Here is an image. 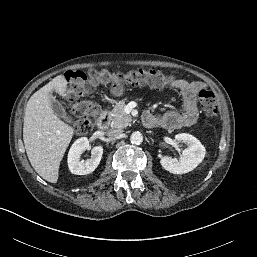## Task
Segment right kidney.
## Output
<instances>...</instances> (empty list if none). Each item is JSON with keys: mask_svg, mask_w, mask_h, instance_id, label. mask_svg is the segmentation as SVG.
<instances>
[{"mask_svg": "<svg viewBox=\"0 0 257 257\" xmlns=\"http://www.w3.org/2000/svg\"><path fill=\"white\" fill-rule=\"evenodd\" d=\"M89 148V141L86 137L79 138L71 146L68 153V167L71 173L76 175H86L92 173L99 165L103 148L95 146L91 150V158L86 161H81L82 153Z\"/></svg>", "mask_w": 257, "mask_h": 257, "instance_id": "ca27d5eb", "label": "right kidney"}]
</instances>
